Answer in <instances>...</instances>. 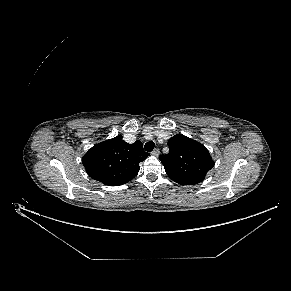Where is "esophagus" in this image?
I'll return each instance as SVG.
<instances>
[{"label":"esophagus","instance_id":"esophagus-1","mask_svg":"<svg viewBox=\"0 0 291 291\" xmlns=\"http://www.w3.org/2000/svg\"><path fill=\"white\" fill-rule=\"evenodd\" d=\"M160 154V150L158 148H155L153 151H152V155L154 156H159Z\"/></svg>","mask_w":291,"mask_h":291}]
</instances>
